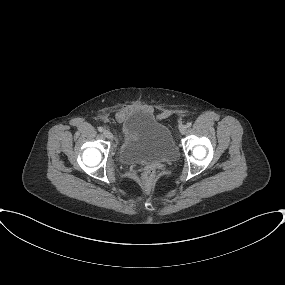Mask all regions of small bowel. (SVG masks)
<instances>
[{"instance_id":"1","label":"small bowel","mask_w":285,"mask_h":285,"mask_svg":"<svg viewBox=\"0 0 285 285\" xmlns=\"http://www.w3.org/2000/svg\"><path fill=\"white\" fill-rule=\"evenodd\" d=\"M134 105H124L117 113H116V119L118 122H123L126 117L134 112L135 110Z\"/></svg>"}]
</instances>
